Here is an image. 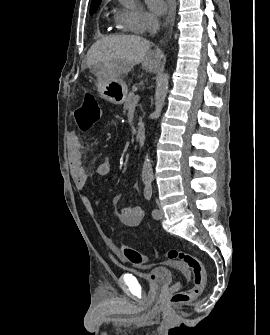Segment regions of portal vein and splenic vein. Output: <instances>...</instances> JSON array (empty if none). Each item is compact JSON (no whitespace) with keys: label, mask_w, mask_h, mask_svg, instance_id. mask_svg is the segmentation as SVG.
I'll return each instance as SVG.
<instances>
[{"label":"portal vein and splenic vein","mask_w":270,"mask_h":335,"mask_svg":"<svg viewBox=\"0 0 270 335\" xmlns=\"http://www.w3.org/2000/svg\"><path fill=\"white\" fill-rule=\"evenodd\" d=\"M135 99L137 101H140L142 99V96H141V93H138L136 96H135Z\"/></svg>","instance_id":"obj_1"}]
</instances>
